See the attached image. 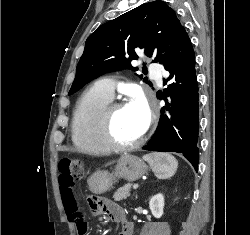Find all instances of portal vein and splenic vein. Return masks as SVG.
Masks as SVG:
<instances>
[{"instance_id":"obj_1","label":"portal vein and splenic vein","mask_w":250,"mask_h":235,"mask_svg":"<svg viewBox=\"0 0 250 235\" xmlns=\"http://www.w3.org/2000/svg\"><path fill=\"white\" fill-rule=\"evenodd\" d=\"M138 187H139L138 184H135V185L133 186V189L136 190Z\"/></svg>"}]
</instances>
